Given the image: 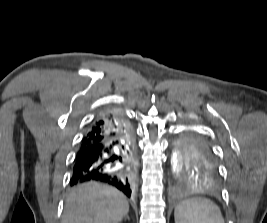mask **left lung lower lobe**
Instances as JSON below:
<instances>
[{"label":"left lung lower lobe","instance_id":"0a47b994","mask_svg":"<svg viewBox=\"0 0 267 223\" xmlns=\"http://www.w3.org/2000/svg\"><path fill=\"white\" fill-rule=\"evenodd\" d=\"M177 175L184 180L183 189H221L217 176L223 171H178Z\"/></svg>","mask_w":267,"mask_h":223}]
</instances>
